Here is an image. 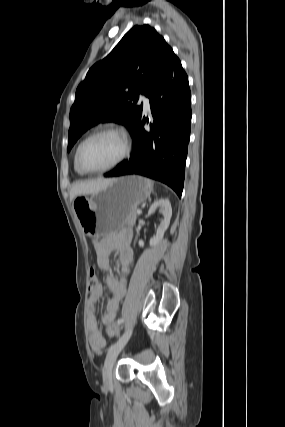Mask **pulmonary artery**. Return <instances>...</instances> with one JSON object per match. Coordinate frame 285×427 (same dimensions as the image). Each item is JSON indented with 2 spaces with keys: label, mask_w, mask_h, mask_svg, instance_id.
<instances>
[{
  "label": "pulmonary artery",
  "mask_w": 285,
  "mask_h": 427,
  "mask_svg": "<svg viewBox=\"0 0 285 427\" xmlns=\"http://www.w3.org/2000/svg\"><path fill=\"white\" fill-rule=\"evenodd\" d=\"M139 102L141 103L144 111H148L150 108L149 99L145 95H140Z\"/></svg>",
  "instance_id": "e3ab8cb5"
}]
</instances>
